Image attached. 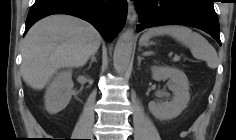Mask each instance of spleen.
I'll return each mask as SVG.
<instances>
[{
	"mask_svg": "<svg viewBox=\"0 0 236 140\" xmlns=\"http://www.w3.org/2000/svg\"><path fill=\"white\" fill-rule=\"evenodd\" d=\"M159 35L173 37L188 47L195 58L206 61L208 67L212 69L217 67L218 62L215 49L202 35L193 32L190 28L179 25L155 27L142 35L141 42L143 43L151 37Z\"/></svg>",
	"mask_w": 236,
	"mask_h": 140,
	"instance_id": "obj_1",
	"label": "spleen"
}]
</instances>
